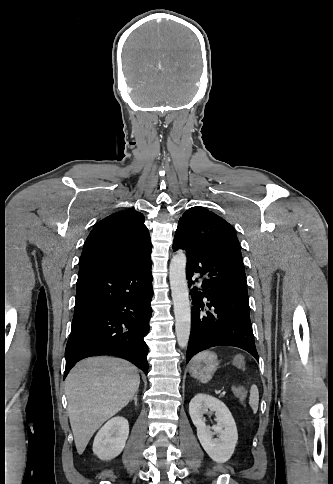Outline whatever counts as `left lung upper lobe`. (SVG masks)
Here are the masks:
<instances>
[{
    "instance_id": "obj_1",
    "label": "left lung upper lobe",
    "mask_w": 333,
    "mask_h": 484,
    "mask_svg": "<svg viewBox=\"0 0 333 484\" xmlns=\"http://www.w3.org/2000/svg\"><path fill=\"white\" fill-rule=\"evenodd\" d=\"M186 226L191 235L205 237L215 234H231L235 237V229L217 214L201 207H192L179 220L178 227Z\"/></svg>"
}]
</instances>
